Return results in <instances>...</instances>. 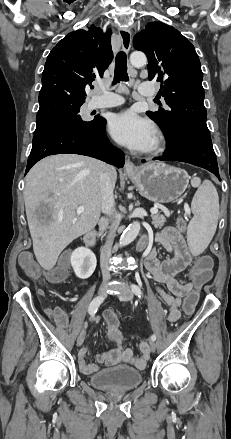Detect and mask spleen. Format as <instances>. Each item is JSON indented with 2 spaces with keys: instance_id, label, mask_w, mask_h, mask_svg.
Here are the masks:
<instances>
[{
  "instance_id": "1",
  "label": "spleen",
  "mask_w": 231,
  "mask_h": 439,
  "mask_svg": "<svg viewBox=\"0 0 231 439\" xmlns=\"http://www.w3.org/2000/svg\"><path fill=\"white\" fill-rule=\"evenodd\" d=\"M191 210L194 217L189 222L187 240L193 255L201 254L212 240L219 217V197L215 186L204 180L196 191Z\"/></svg>"
}]
</instances>
